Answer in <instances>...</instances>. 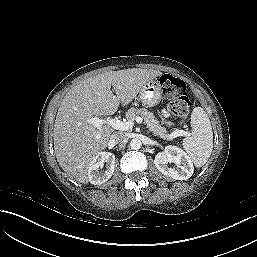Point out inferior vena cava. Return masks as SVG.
Listing matches in <instances>:
<instances>
[{
  "label": "inferior vena cava",
  "mask_w": 257,
  "mask_h": 257,
  "mask_svg": "<svg viewBox=\"0 0 257 257\" xmlns=\"http://www.w3.org/2000/svg\"><path fill=\"white\" fill-rule=\"evenodd\" d=\"M126 139H127V136H126L125 133H123V132H115V133H113L111 135L109 143L111 145H116L118 143L126 141Z\"/></svg>",
  "instance_id": "602c4592"
}]
</instances>
